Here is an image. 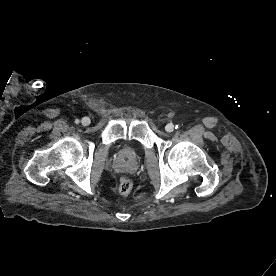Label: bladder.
Instances as JSON below:
<instances>
[{
    "label": "bladder",
    "mask_w": 276,
    "mask_h": 276,
    "mask_svg": "<svg viewBox=\"0 0 276 276\" xmlns=\"http://www.w3.org/2000/svg\"><path fill=\"white\" fill-rule=\"evenodd\" d=\"M123 153L126 157H132L134 155V151L131 148H125Z\"/></svg>",
    "instance_id": "bladder-1"
}]
</instances>
